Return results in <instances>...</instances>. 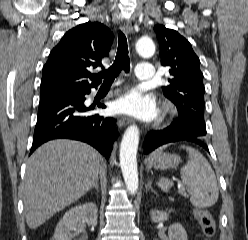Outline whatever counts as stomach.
Here are the masks:
<instances>
[{"label":"stomach","instance_id":"obj_1","mask_svg":"<svg viewBox=\"0 0 248 240\" xmlns=\"http://www.w3.org/2000/svg\"><path fill=\"white\" fill-rule=\"evenodd\" d=\"M149 161L157 169H168L176 167L181 160L176 154L155 152L150 156Z\"/></svg>","mask_w":248,"mask_h":240}]
</instances>
